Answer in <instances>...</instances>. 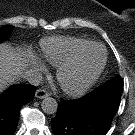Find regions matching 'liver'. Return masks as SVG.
Listing matches in <instances>:
<instances>
[{
	"mask_svg": "<svg viewBox=\"0 0 135 135\" xmlns=\"http://www.w3.org/2000/svg\"><path fill=\"white\" fill-rule=\"evenodd\" d=\"M23 57L20 50L6 43L0 44V92L22 75L26 63Z\"/></svg>",
	"mask_w": 135,
	"mask_h": 135,
	"instance_id": "obj_1",
	"label": "liver"
}]
</instances>
